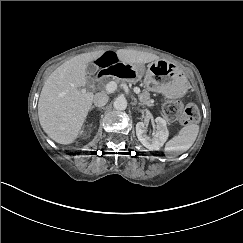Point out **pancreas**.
Returning <instances> with one entry per match:
<instances>
[{
    "mask_svg": "<svg viewBox=\"0 0 243 243\" xmlns=\"http://www.w3.org/2000/svg\"><path fill=\"white\" fill-rule=\"evenodd\" d=\"M139 100L147 106H153L154 105V101L150 98L149 96V92L148 91H144L142 92L139 96H138Z\"/></svg>",
    "mask_w": 243,
    "mask_h": 243,
    "instance_id": "cf45deb5",
    "label": "pancreas"
}]
</instances>
